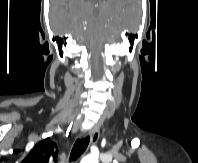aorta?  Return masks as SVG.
I'll use <instances>...</instances> for the list:
<instances>
[{
    "mask_svg": "<svg viewBox=\"0 0 198 163\" xmlns=\"http://www.w3.org/2000/svg\"><path fill=\"white\" fill-rule=\"evenodd\" d=\"M80 163H99L98 157L95 155H87L82 158Z\"/></svg>",
    "mask_w": 198,
    "mask_h": 163,
    "instance_id": "1",
    "label": "aorta"
}]
</instances>
